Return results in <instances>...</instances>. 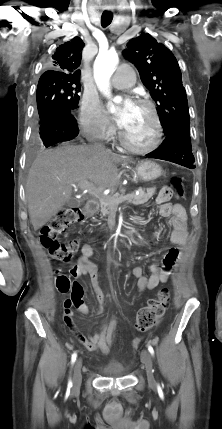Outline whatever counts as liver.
<instances>
[{
    "label": "liver",
    "mask_w": 222,
    "mask_h": 429,
    "mask_svg": "<svg viewBox=\"0 0 222 429\" xmlns=\"http://www.w3.org/2000/svg\"><path fill=\"white\" fill-rule=\"evenodd\" d=\"M129 160L109 150L64 144L41 152L33 162L27 182L26 198L35 231L44 226L72 195V185L90 181L101 189L120 182L117 164Z\"/></svg>",
    "instance_id": "1"
}]
</instances>
